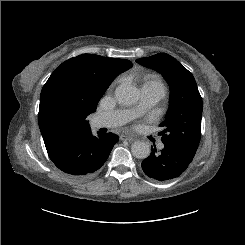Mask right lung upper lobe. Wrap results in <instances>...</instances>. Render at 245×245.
Returning a JSON list of instances; mask_svg holds the SVG:
<instances>
[{
  "instance_id": "1",
  "label": "right lung upper lobe",
  "mask_w": 245,
  "mask_h": 245,
  "mask_svg": "<svg viewBox=\"0 0 245 245\" xmlns=\"http://www.w3.org/2000/svg\"><path fill=\"white\" fill-rule=\"evenodd\" d=\"M131 67L129 60L82 54L55 69L42 88L38 114L50 159L90 131L88 115L114 78Z\"/></svg>"
}]
</instances>
